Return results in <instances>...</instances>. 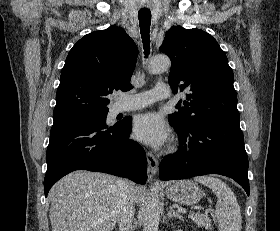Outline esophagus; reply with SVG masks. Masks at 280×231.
<instances>
[{"label": "esophagus", "instance_id": "1", "mask_svg": "<svg viewBox=\"0 0 280 231\" xmlns=\"http://www.w3.org/2000/svg\"><path fill=\"white\" fill-rule=\"evenodd\" d=\"M148 172L151 176H154L158 172V160L151 151H146Z\"/></svg>", "mask_w": 280, "mask_h": 231}]
</instances>
